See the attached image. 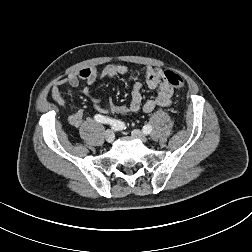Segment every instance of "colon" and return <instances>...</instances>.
Instances as JSON below:
<instances>
[{"instance_id":"5ec220e1","label":"colon","mask_w":252,"mask_h":252,"mask_svg":"<svg viewBox=\"0 0 252 252\" xmlns=\"http://www.w3.org/2000/svg\"><path fill=\"white\" fill-rule=\"evenodd\" d=\"M165 80L176 89L184 87V80L178 74L172 71L164 72ZM105 110L110 114L129 115L139 110V103L129 100L127 103H117L112 99H107L104 105Z\"/></svg>"}]
</instances>
